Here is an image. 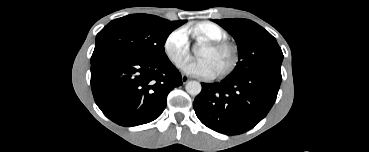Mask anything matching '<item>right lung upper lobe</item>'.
Listing matches in <instances>:
<instances>
[{
	"instance_id": "right-lung-upper-lobe-1",
	"label": "right lung upper lobe",
	"mask_w": 369,
	"mask_h": 152,
	"mask_svg": "<svg viewBox=\"0 0 369 152\" xmlns=\"http://www.w3.org/2000/svg\"><path fill=\"white\" fill-rule=\"evenodd\" d=\"M182 22H183V20L173 21V23L176 24L178 27L183 24Z\"/></svg>"
}]
</instances>
